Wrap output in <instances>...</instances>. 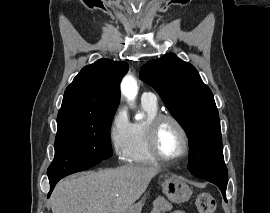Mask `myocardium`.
Here are the masks:
<instances>
[{
    "mask_svg": "<svg viewBox=\"0 0 270 213\" xmlns=\"http://www.w3.org/2000/svg\"><path fill=\"white\" fill-rule=\"evenodd\" d=\"M165 121L173 122L177 128L180 130L183 139H184V151L178 157H167L161 153L158 147V133L159 129ZM147 146L153 157L157 160L167 162V163H176L186 159L190 153V138L189 134L182 124V122L171 114L159 113L152 117L147 124Z\"/></svg>",
    "mask_w": 270,
    "mask_h": 213,
    "instance_id": "obj_1",
    "label": "myocardium"
}]
</instances>
